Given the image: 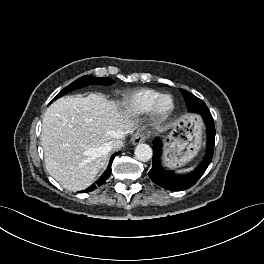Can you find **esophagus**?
<instances>
[{"instance_id":"34e87169","label":"esophagus","mask_w":264,"mask_h":264,"mask_svg":"<svg viewBox=\"0 0 264 264\" xmlns=\"http://www.w3.org/2000/svg\"><path fill=\"white\" fill-rule=\"evenodd\" d=\"M146 139V136L142 133H138V134H135L133 139H132V143L133 145H137L139 143H142L144 142Z\"/></svg>"}]
</instances>
